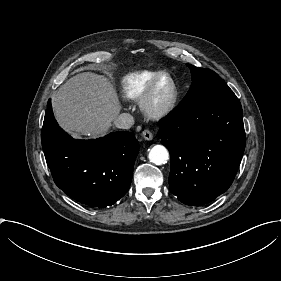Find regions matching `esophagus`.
<instances>
[{
	"label": "esophagus",
	"mask_w": 281,
	"mask_h": 281,
	"mask_svg": "<svg viewBox=\"0 0 281 281\" xmlns=\"http://www.w3.org/2000/svg\"><path fill=\"white\" fill-rule=\"evenodd\" d=\"M142 136L145 140H148V141L153 139V134L149 130L142 131Z\"/></svg>",
	"instance_id": "1"
}]
</instances>
